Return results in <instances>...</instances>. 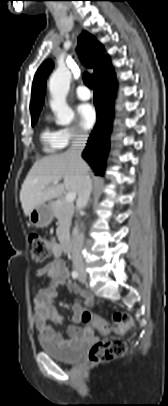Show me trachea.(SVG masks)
I'll list each match as a JSON object with an SVG mask.
<instances>
[{
  "label": "trachea",
  "mask_w": 168,
  "mask_h": 406,
  "mask_svg": "<svg viewBox=\"0 0 168 406\" xmlns=\"http://www.w3.org/2000/svg\"><path fill=\"white\" fill-rule=\"evenodd\" d=\"M83 81H84L85 85L87 87H89L90 89L94 88L93 79H92V76L89 73H87V72L84 73Z\"/></svg>",
  "instance_id": "1"
}]
</instances>
